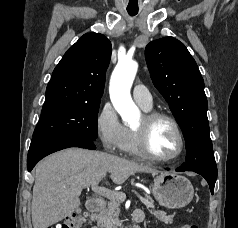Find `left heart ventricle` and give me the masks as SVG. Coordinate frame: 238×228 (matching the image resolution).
I'll return each instance as SVG.
<instances>
[{"label":"left heart ventricle","instance_id":"b2bd125f","mask_svg":"<svg viewBox=\"0 0 238 228\" xmlns=\"http://www.w3.org/2000/svg\"><path fill=\"white\" fill-rule=\"evenodd\" d=\"M143 125V117L138 121L136 128ZM149 146L151 151L163 158L173 156L179 146L177 135L170 123L164 120L153 124L149 132Z\"/></svg>","mask_w":238,"mask_h":228}]
</instances>
